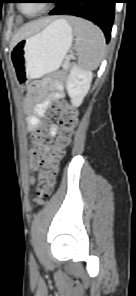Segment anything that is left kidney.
<instances>
[{
    "label": "left kidney",
    "mask_w": 136,
    "mask_h": 296,
    "mask_svg": "<svg viewBox=\"0 0 136 296\" xmlns=\"http://www.w3.org/2000/svg\"><path fill=\"white\" fill-rule=\"evenodd\" d=\"M93 73L77 65L73 66L67 79V92L74 107H79L88 93Z\"/></svg>",
    "instance_id": "left-kidney-1"
}]
</instances>
